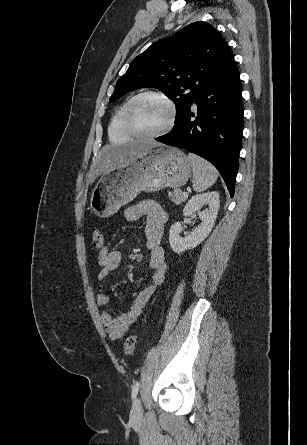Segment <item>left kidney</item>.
<instances>
[{"instance_id":"left-kidney-1","label":"left kidney","mask_w":307,"mask_h":445,"mask_svg":"<svg viewBox=\"0 0 307 445\" xmlns=\"http://www.w3.org/2000/svg\"><path fill=\"white\" fill-rule=\"evenodd\" d=\"M204 202H208L209 210H200ZM219 204L220 198L217 190H213V192H203V194H195V196H192V198L186 202V206L183 208V214L190 216V214H193V212L197 210L202 223L200 227H197V229H194L191 233H186V237H181L180 235V233L184 231L181 223H174V225H172L169 241L174 253L180 255V253H184L187 249H195L197 245H200V243L208 237L214 227Z\"/></svg>"}]
</instances>
